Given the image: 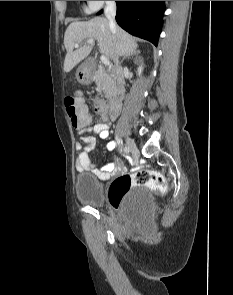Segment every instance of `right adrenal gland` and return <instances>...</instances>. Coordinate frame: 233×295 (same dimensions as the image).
<instances>
[{
  "label": "right adrenal gland",
  "mask_w": 233,
  "mask_h": 295,
  "mask_svg": "<svg viewBox=\"0 0 233 295\" xmlns=\"http://www.w3.org/2000/svg\"><path fill=\"white\" fill-rule=\"evenodd\" d=\"M140 53L139 50H136L133 54H131L130 56H126L123 58L122 62L125 60V59H130L132 56H136Z\"/></svg>",
  "instance_id": "2a0ac1e0"
}]
</instances>
